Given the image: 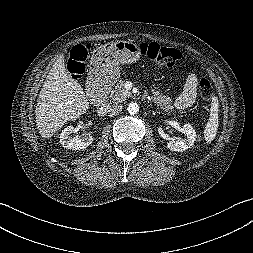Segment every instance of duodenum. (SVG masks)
Returning a JSON list of instances; mask_svg holds the SVG:
<instances>
[{
    "instance_id": "1",
    "label": "duodenum",
    "mask_w": 253,
    "mask_h": 253,
    "mask_svg": "<svg viewBox=\"0 0 253 253\" xmlns=\"http://www.w3.org/2000/svg\"><path fill=\"white\" fill-rule=\"evenodd\" d=\"M93 97L94 100L98 103V108L103 110L106 106L105 98H106V89L104 87H95L93 88Z\"/></svg>"
}]
</instances>
